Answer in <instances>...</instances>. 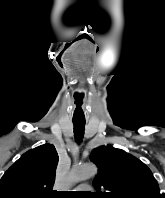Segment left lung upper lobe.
Returning <instances> with one entry per match:
<instances>
[{"label": "left lung upper lobe", "mask_w": 165, "mask_h": 198, "mask_svg": "<svg viewBox=\"0 0 165 198\" xmlns=\"http://www.w3.org/2000/svg\"><path fill=\"white\" fill-rule=\"evenodd\" d=\"M98 166L93 185L100 198H162L150 169L136 157L111 145L91 152Z\"/></svg>", "instance_id": "1"}]
</instances>
